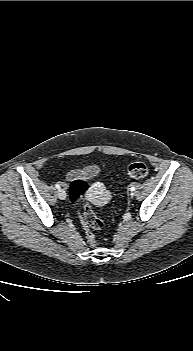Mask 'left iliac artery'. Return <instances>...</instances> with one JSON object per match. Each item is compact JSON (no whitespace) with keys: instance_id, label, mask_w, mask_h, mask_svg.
I'll return each instance as SVG.
<instances>
[{"instance_id":"left-iliac-artery-1","label":"left iliac artery","mask_w":193,"mask_h":351,"mask_svg":"<svg viewBox=\"0 0 193 351\" xmlns=\"http://www.w3.org/2000/svg\"><path fill=\"white\" fill-rule=\"evenodd\" d=\"M130 190H131V191H134V190H135V186H134V185H131Z\"/></svg>"}]
</instances>
